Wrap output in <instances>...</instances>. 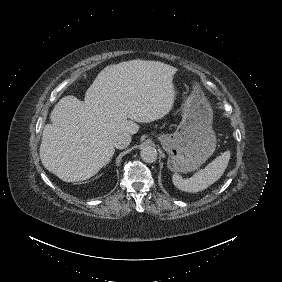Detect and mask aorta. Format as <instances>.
<instances>
[{
  "instance_id": "762f6f07",
  "label": "aorta",
  "mask_w": 282,
  "mask_h": 282,
  "mask_svg": "<svg viewBox=\"0 0 282 282\" xmlns=\"http://www.w3.org/2000/svg\"><path fill=\"white\" fill-rule=\"evenodd\" d=\"M140 157L145 162H153L157 159V151L154 147L146 145L140 150Z\"/></svg>"
}]
</instances>
